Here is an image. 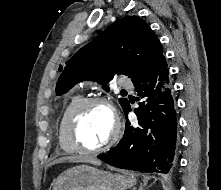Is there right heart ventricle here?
<instances>
[{
	"mask_svg": "<svg viewBox=\"0 0 221 190\" xmlns=\"http://www.w3.org/2000/svg\"><path fill=\"white\" fill-rule=\"evenodd\" d=\"M85 97L82 93L72 95L64 105L57 126V138L60 149L67 154L77 152L72 145L67 134V122L73 110L83 101Z\"/></svg>",
	"mask_w": 221,
	"mask_h": 190,
	"instance_id": "obj_1",
	"label": "right heart ventricle"
}]
</instances>
